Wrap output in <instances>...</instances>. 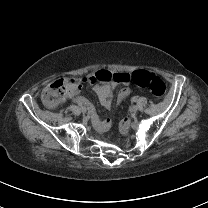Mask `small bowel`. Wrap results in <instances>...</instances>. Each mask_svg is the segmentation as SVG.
<instances>
[{"label": "small bowel", "mask_w": 208, "mask_h": 208, "mask_svg": "<svg viewBox=\"0 0 208 208\" xmlns=\"http://www.w3.org/2000/svg\"><path fill=\"white\" fill-rule=\"evenodd\" d=\"M127 81H128V76L126 74L118 73L112 79L111 82H101L100 84H96L94 86V91L98 94L100 102L105 108L109 109L111 107V104H112L111 95H112L113 89L117 85L126 84ZM128 93L129 91L127 88H122L116 97V104H120L128 96ZM72 99L86 106L89 112L93 113V108L91 107V105L88 104L83 97L78 96L77 88H74V95L72 96ZM45 105L48 109L54 108V105L50 102L45 103ZM100 115H101V112L99 110H96L94 112V115L92 116V122L96 125V127L99 130L105 131L109 129L110 123L108 121L109 125L107 129H103L102 127H105L107 125V122L103 120V118Z\"/></svg>", "instance_id": "1"}]
</instances>
